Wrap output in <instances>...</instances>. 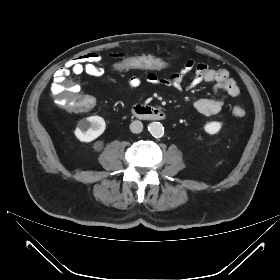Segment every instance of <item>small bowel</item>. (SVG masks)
Returning a JSON list of instances; mask_svg holds the SVG:
<instances>
[{"label":"small bowel","mask_w":280,"mask_h":280,"mask_svg":"<svg viewBox=\"0 0 280 280\" xmlns=\"http://www.w3.org/2000/svg\"><path fill=\"white\" fill-rule=\"evenodd\" d=\"M123 57H127V55ZM178 57L179 54L175 52L167 54L168 60ZM193 69H195V73L185 86L192 89L202 83L213 84L216 94V97L213 98H200L196 100L194 107L198 112L204 115H215L220 112L224 105L221 96L222 92H225L231 97H238L240 95L239 87L227 70L213 69L204 63L195 64L191 59L186 60L183 69L177 73L163 77L157 76L154 71L151 73L138 74L130 77L126 81V85L129 88H137L143 83H148L151 85H163L180 89L184 87L185 75ZM64 71H68L69 73L84 72L92 76H100L104 69L101 65L99 55L96 53H88L69 61L65 67L61 69V72Z\"/></svg>","instance_id":"small-bowel-1"}]
</instances>
